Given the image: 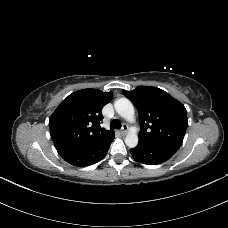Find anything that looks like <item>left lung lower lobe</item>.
<instances>
[{"label":"left lung lower lobe","mask_w":228,"mask_h":228,"mask_svg":"<svg viewBox=\"0 0 228 228\" xmlns=\"http://www.w3.org/2000/svg\"><path fill=\"white\" fill-rule=\"evenodd\" d=\"M176 152L177 149L172 147L141 143H138L137 147L130 150L135 160L148 165L163 163L170 159Z\"/></svg>","instance_id":"0a47b994"}]
</instances>
